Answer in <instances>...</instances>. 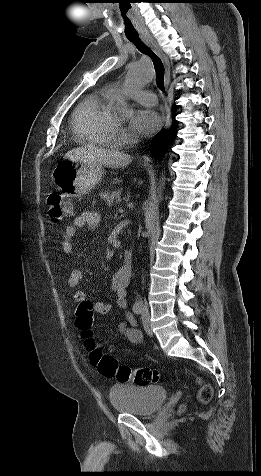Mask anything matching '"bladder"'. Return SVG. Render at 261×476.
Returning <instances> with one entry per match:
<instances>
[{
  "mask_svg": "<svg viewBox=\"0 0 261 476\" xmlns=\"http://www.w3.org/2000/svg\"><path fill=\"white\" fill-rule=\"evenodd\" d=\"M167 398L159 385L120 383L111 387L109 399L113 408L134 416H149L158 411Z\"/></svg>",
  "mask_w": 261,
  "mask_h": 476,
  "instance_id": "bladder-1",
  "label": "bladder"
}]
</instances>
